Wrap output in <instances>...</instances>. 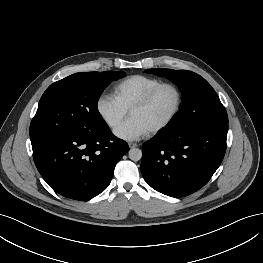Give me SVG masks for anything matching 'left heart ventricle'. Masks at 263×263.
Masks as SVG:
<instances>
[{"label": "left heart ventricle", "mask_w": 263, "mask_h": 263, "mask_svg": "<svg viewBox=\"0 0 263 263\" xmlns=\"http://www.w3.org/2000/svg\"><path fill=\"white\" fill-rule=\"evenodd\" d=\"M175 104L176 94L174 90L165 87L155 95L146 107L132 111L130 116L138 118L151 130L171 114Z\"/></svg>", "instance_id": "1"}]
</instances>
